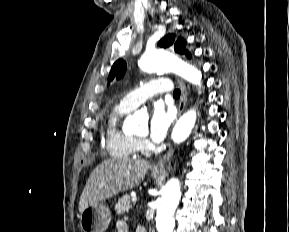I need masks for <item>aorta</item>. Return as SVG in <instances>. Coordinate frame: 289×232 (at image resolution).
<instances>
[{
	"label": "aorta",
	"instance_id": "obj_1",
	"mask_svg": "<svg viewBox=\"0 0 289 232\" xmlns=\"http://www.w3.org/2000/svg\"><path fill=\"white\" fill-rule=\"evenodd\" d=\"M144 72H174L188 82L201 86V71L192 65L173 57L168 51L156 49L146 52L138 62ZM196 122V110L191 109L177 121L172 140L183 142L191 133ZM144 121L139 115L129 116L124 122V129L128 131L145 132ZM181 198L180 183L177 179H170L162 189L161 197L156 202V229L158 232H173L175 226L174 212Z\"/></svg>",
	"mask_w": 289,
	"mask_h": 232
}]
</instances>
